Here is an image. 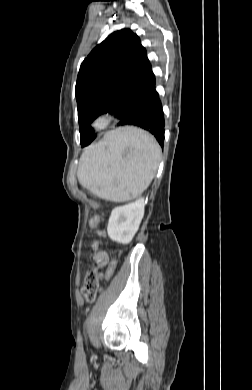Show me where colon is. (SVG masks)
Segmentation results:
<instances>
[{
    "label": "colon",
    "mask_w": 252,
    "mask_h": 390,
    "mask_svg": "<svg viewBox=\"0 0 252 390\" xmlns=\"http://www.w3.org/2000/svg\"><path fill=\"white\" fill-rule=\"evenodd\" d=\"M93 220L95 224L98 226L101 221V217L97 215L93 218ZM98 234L102 235L103 234L102 230L99 229ZM98 246H99V241L94 242L93 244L94 250H97ZM98 289H99V280L97 277V271L96 269H91L85 278V283L82 288V294L85 300L89 302L93 301L97 295Z\"/></svg>",
    "instance_id": "5ec220e1"
}]
</instances>
